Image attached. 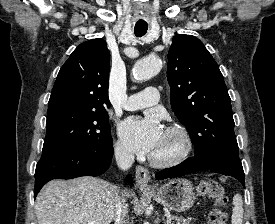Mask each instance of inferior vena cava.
<instances>
[{
	"label": "inferior vena cava",
	"mask_w": 275,
	"mask_h": 224,
	"mask_svg": "<svg viewBox=\"0 0 275 224\" xmlns=\"http://www.w3.org/2000/svg\"><path fill=\"white\" fill-rule=\"evenodd\" d=\"M115 158L118 167L122 170L129 169L134 162V155L124 148L118 147L115 149ZM115 224H126V216L128 213V205L125 201V195H118L114 202Z\"/></svg>",
	"instance_id": "inferior-vena-cava-1"
}]
</instances>
